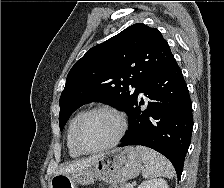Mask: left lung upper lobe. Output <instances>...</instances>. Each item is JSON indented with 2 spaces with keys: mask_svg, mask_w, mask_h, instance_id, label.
Listing matches in <instances>:
<instances>
[{
  "mask_svg": "<svg viewBox=\"0 0 224 188\" xmlns=\"http://www.w3.org/2000/svg\"><path fill=\"white\" fill-rule=\"evenodd\" d=\"M173 59L160 31L142 23L92 47L67 75L60 97V130L76 109L93 101H107L130 117L142 85Z\"/></svg>",
  "mask_w": 224,
  "mask_h": 188,
  "instance_id": "left-lung-upper-lobe-1",
  "label": "left lung upper lobe"
}]
</instances>
